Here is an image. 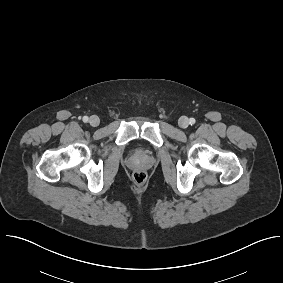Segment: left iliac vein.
Wrapping results in <instances>:
<instances>
[{
	"instance_id": "4c4485c4",
	"label": "left iliac vein",
	"mask_w": 283,
	"mask_h": 283,
	"mask_svg": "<svg viewBox=\"0 0 283 283\" xmlns=\"http://www.w3.org/2000/svg\"><path fill=\"white\" fill-rule=\"evenodd\" d=\"M178 124L181 128H187L189 126V120L187 117L183 116L179 119Z\"/></svg>"
}]
</instances>
